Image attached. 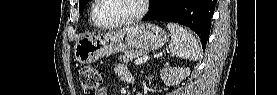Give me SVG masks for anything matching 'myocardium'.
<instances>
[{"label":"myocardium","mask_w":277,"mask_h":95,"mask_svg":"<svg viewBox=\"0 0 277 95\" xmlns=\"http://www.w3.org/2000/svg\"><path fill=\"white\" fill-rule=\"evenodd\" d=\"M137 1L140 4V9L136 15H134L130 18L117 20L112 23H103V22H100L99 20H97L96 15H95L96 8L99 5V3L101 2V0H95L93 6L91 8L92 21L101 28H115V27H120L123 25L133 24V23L139 21L146 14L147 8H148L147 0H137Z\"/></svg>","instance_id":"myocardium-1"}]
</instances>
